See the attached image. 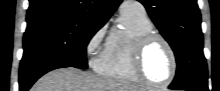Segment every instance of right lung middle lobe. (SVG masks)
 <instances>
[{
    "mask_svg": "<svg viewBox=\"0 0 220 91\" xmlns=\"http://www.w3.org/2000/svg\"><path fill=\"white\" fill-rule=\"evenodd\" d=\"M101 27L88 21L66 18L28 24L23 38L20 75L54 61L87 68L86 47Z\"/></svg>",
    "mask_w": 220,
    "mask_h": 91,
    "instance_id": "1",
    "label": "right lung middle lobe"
}]
</instances>
